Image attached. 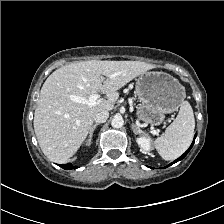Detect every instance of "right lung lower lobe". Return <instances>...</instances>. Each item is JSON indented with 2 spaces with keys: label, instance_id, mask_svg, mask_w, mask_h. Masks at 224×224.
Wrapping results in <instances>:
<instances>
[{
  "label": "right lung lower lobe",
  "instance_id": "obj_1",
  "mask_svg": "<svg viewBox=\"0 0 224 224\" xmlns=\"http://www.w3.org/2000/svg\"><path fill=\"white\" fill-rule=\"evenodd\" d=\"M62 168H64V169H72V168H74V169H76L77 167H74V166H72L70 163H68V164H62V165H60Z\"/></svg>",
  "mask_w": 224,
  "mask_h": 224
}]
</instances>
